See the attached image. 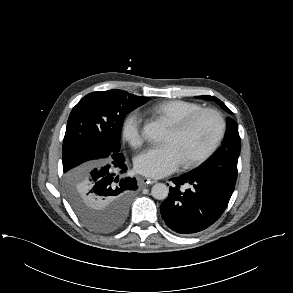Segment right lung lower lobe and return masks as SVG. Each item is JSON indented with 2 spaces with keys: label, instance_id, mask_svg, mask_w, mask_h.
I'll use <instances>...</instances> for the list:
<instances>
[{
  "label": "right lung lower lobe",
  "instance_id": "98d812e1",
  "mask_svg": "<svg viewBox=\"0 0 293 293\" xmlns=\"http://www.w3.org/2000/svg\"><path fill=\"white\" fill-rule=\"evenodd\" d=\"M124 161L121 154L118 158L93 164L87 173L85 196L95 211L116 213L125 220L131 193L137 189V181L135 178H120L117 175L127 171Z\"/></svg>",
  "mask_w": 293,
  "mask_h": 293
}]
</instances>
